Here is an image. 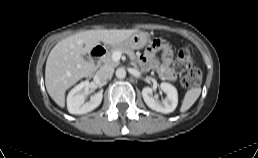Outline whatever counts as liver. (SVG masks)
I'll list each match as a JSON object with an SVG mask.
<instances>
[{"label": "liver", "instance_id": "6515ba94", "mask_svg": "<svg viewBox=\"0 0 258 158\" xmlns=\"http://www.w3.org/2000/svg\"><path fill=\"white\" fill-rule=\"evenodd\" d=\"M137 31V29L88 30L59 41L46 61L45 85L50 97L58 106L64 107L66 90L94 71V64L85 61L83 56L100 42L116 45Z\"/></svg>", "mask_w": 258, "mask_h": 158}]
</instances>
